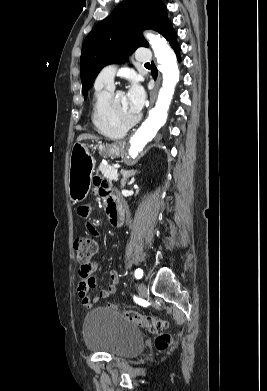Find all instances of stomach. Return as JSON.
I'll list each match as a JSON object with an SVG mask.
<instances>
[{
    "mask_svg": "<svg viewBox=\"0 0 267 391\" xmlns=\"http://www.w3.org/2000/svg\"><path fill=\"white\" fill-rule=\"evenodd\" d=\"M99 150L108 156H119L121 145L114 143L105 147L100 144ZM94 168L95 160L90 154L88 147L79 142L74 144L70 156L68 177L69 197L74 203L81 202L87 197L91 187Z\"/></svg>",
    "mask_w": 267,
    "mask_h": 391,
    "instance_id": "stomach-1",
    "label": "stomach"
}]
</instances>
